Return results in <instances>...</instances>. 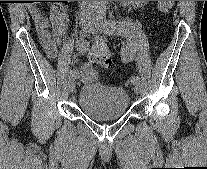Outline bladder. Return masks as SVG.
Returning <instances> with one entry per match:
<instances>
[{"label":"bladder","mask_w":207,"mask_h":169,"mask_svg":"<svg viewBox=\"0 0 207 169\" xmlns=\"http://www.w3.org/2000/svg\"><path fill=\"white\" fill-rule=\"evenodd\" d=\"M130 104L125 89L90 82L83 85L78 94V107L84 115L96 121L117 120L123 117Z\"/></svg>","instance_id":"1"}]
</instances>
